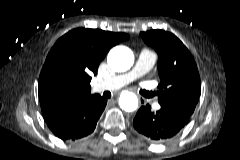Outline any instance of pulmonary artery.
I'll return each instance as SVG.
<instances>
[{
	"label": "pulmonary artery",
	"instance_id": "obj_1",
	"mask_svg": "<svg viewBox=\"0 0 240 160\" xmlns=\"http://www.w3.org/2000/svg\"><path fill=\"white\" fill-rule=\"evenodd\" d=\"M156 60L157 55L153 51L144 48L140 51L136 63L131 71L104 80L98 84L95 89L97 91L103 88L117 89L128 85L129 83L146 75L152 69ZM157 107L159 106L157 105Z\"/></svg>",
	"mask_w": 240,
	"mask_h": 160
}]
</instances>
